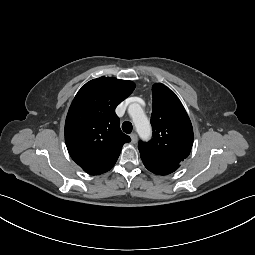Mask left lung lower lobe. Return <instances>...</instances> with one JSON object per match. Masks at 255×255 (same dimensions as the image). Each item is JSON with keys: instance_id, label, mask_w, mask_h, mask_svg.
I'll return each mask as SVG.
<instances>
[{"instance_id": "obj_1", "label": "left lung lower lobe", "mask_w": 255, "mask_h": 255, "mask_svg": "<svg viewBox=\"0 0 255 255\" xmlns=\"http://www.w3.org/2000/svg\"><path fill=\"white\" fill-rule=\"evenodd\" d=\"M144 165L149 171L157 175H168L179 168V167L178 168H159V167L149 165L147 163H144Z\"/></svg>"}]
</instances>
